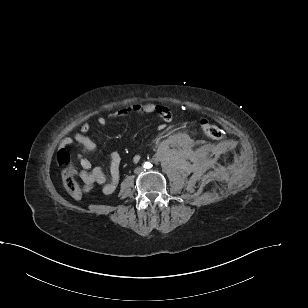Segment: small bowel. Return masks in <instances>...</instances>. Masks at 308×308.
I'll return each instance as SVG.
<instances>
[{
  "label": "small bowel",
  "instance_id": "small-bowel-1",
  "mask_svg": "<svg viewBox=\"0 0 308 308\" xmlns=\"http://www.w3.org/2000/svg\"><path fill=\"white\" fill-rule=\"evenodd\" d=\"M148 115L155 114L160 117L165 123L172 120V113L163 105L147 103V104H133L111 113L109 116H101L97 119L99 125H106L110 119L119 118L127 115ZM164 124L160 127L164 128ZM90 129L89 123H84L80 131L74 135L73 138H65L61 142V147L76 143L81 148V153L78 156V162L81 167L80 176L85 183L87 189H92L96 185H102L106 194L113 193L118 185L120 179V163L121 157L117 152H112L109 158L108 167L104 170L101 167H93L87 155L94 153L96 150L95 143L87 136ZM188 135L185 133H174L166 140V144L182 145L187 141Z\"/></svg>",
  "mask_w": 308,
  "mask_h": 308
}]
</instances>
